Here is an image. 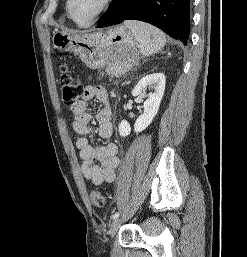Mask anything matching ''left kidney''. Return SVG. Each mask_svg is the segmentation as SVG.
Listing matches in <instances>:
<instances>
[{
	"instance_id": "1",
	"label": "left kidney",
	"mask_w": 247,
	"mask_h": 257,
	"mask_svg": "<svg viewBox=\"0 0 247 257\" xmlns=\"http://www.w3.org/2000/svg\"><path fill=\"white\" fill-rule=\"evenodd\" d=\"M165 83L166 79L164 74L153 73L143 77L132 90L133 96H144L147 87L154 90V92H151L144 101L143 113L137 118L134 124V131L136 133L145 130L156 116L164 95ZM118 130L120 136L126 137L131 132V126L126 120H122Z\"/></svg>"
}]
</instances>
